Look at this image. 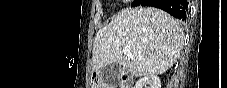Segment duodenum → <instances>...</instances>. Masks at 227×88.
I'll use <instances>...</instances> for the list:
<instances>
[{
  "label": "duodenum",
  "instance_id": "1",
  "mask_svg": "<svg viewBox=\"0 0 227 88\" xmlns=\"http://www.w3.org/2000/svg\"><path fill=\"white\" fill-rule=\"evenodd\" d=\"M122 82L124 84H130L132 82V78L128 76L126 73H123Z\"/></svg>",
  "mask_w": 227,
  "mask_h": 88
}]
</instances>
